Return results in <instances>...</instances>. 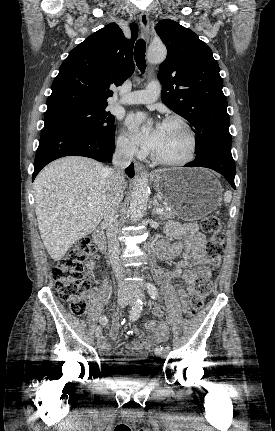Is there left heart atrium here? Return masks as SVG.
<instances>
[{
    "mask_svg": "<svg viewBox=\"0 0 275 431\" xmlns=\"http://www.w3.org/2000/svg\"><path fill=\"white\" fill-rule=\"evenodd\" d=\"M143 122L142 114H132L127 118V124L135 141L144 148L154 151L160 142L163 124L157 123L152 130H146Z\"/></svg>",
    "mask_w": 275,
    "mask_h": 431,
    "instance_id": "1",
    "label": "left heart atrium"
}]
</instances>
